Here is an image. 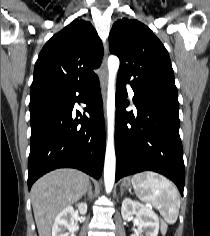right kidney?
I'll use <instances>...</instances> for the list:
<instances>
[{"instance_id":"right-kidney-1","label":"right kidney","mask_w":210,"mask_h":236,"mask_svg":"<svg viewBox=\"0 0 210 236\" xmlns=\"http://www.w3.org/2000/svg\"><path fill=\"white\" fill-rule=\"evenodd\" d=\"M87 212V204L79 203L77 204V210H74L72 206H68L63 209L55 218L52 227V236H67L66 230L72 233L71 236H75L74 232L76 227L74 225V219L80 214H85Z\"/></svg>"}]
</instances>
